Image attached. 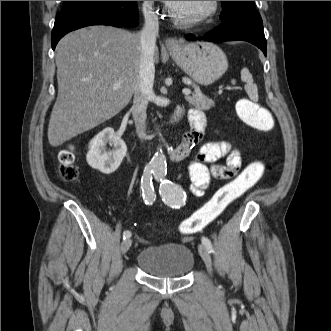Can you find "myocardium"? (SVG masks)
<instances>
[{
  "instance_id": "obj_1",
  "label": "myocardium",
  "mask_w": 331,
  "mask_h": 331,
  "mask_svg": "<svg viewBox=\"0 0 331 331\" xmlns=\"http://www.w3.org/2000/svg\"><path fill=\"white\" fill-rule=\"evenodd\" d=\"M219 7V1H209L208 2V7L206 8V10H204L203 12H201L200 14L196 15V16H192V17H181L179 15H177L171 5L168 6V15L170 16V18L177 24L182 25V26H195L198 24H201L205 21H207L208 19H210L211 17H213Z\"/></svg>"
}]
</instances>
